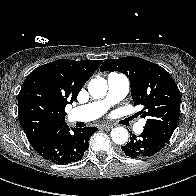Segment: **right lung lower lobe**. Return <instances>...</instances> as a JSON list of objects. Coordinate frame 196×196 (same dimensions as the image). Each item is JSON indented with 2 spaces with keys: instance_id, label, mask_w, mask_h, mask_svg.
I'll list each match as a JSON object with an SVG mask.
<instances>
[{
  "instance_id": "right-lung-lower-lobe-1",
  "label": "right lung lower lobe",
  "mask_w": 196,
  "mask_h": 196,
  "mask_svg": "<svg viewBox=\"0 0 196 196\" xmlns=\"http://www.w3.org/2000/svg\"><path fill=\"white\" fill-rule=\"evenodd\" d=\"M72 130L71 133L66 125L32 147L46 160L56 164L76 162L82 159L88 149L89 138L97 128H72Z\"/></svg>"
}]
</instances>
